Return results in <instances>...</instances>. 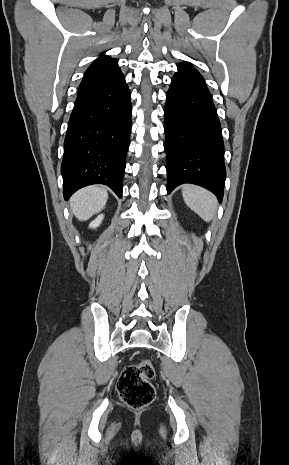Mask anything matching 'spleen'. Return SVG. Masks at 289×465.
I'll return each instance as SVG.
<instances>
[{
  "instance_id": "3e777b00",
  "label": "spleen",
  "mask_w": 289,
  "mask_h": 465,
  "mask_svg": "<svg viewBox=\"0 0 289 465\" xmlns=\"http://www.w3.org/2000/svg\"><path fill=\"white\" fill-rule=\"evenodd\" d=\"M182 196L187 206L203 220H212L217 210V200L211 192L196 185L185 184L182 186Z\"/></svg>"
}]
</instances>
